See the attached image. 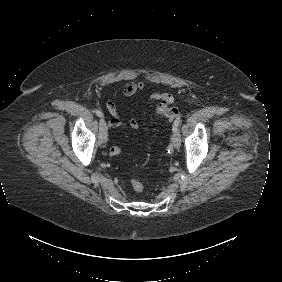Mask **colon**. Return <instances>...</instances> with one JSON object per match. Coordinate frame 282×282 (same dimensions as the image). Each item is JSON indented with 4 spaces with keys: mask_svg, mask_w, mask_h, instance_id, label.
Returning <instances> with one entry per match:
<instances>
[{
    "mask_svg": "<svg viewBox=\"0 0 282 282\" xmlns=\"http://www.w3.org/2000/svg\"><path fill=\"white\" fill-rule=\"evenodd\" d=\"M163 115L166 118H169L170 121L177 122L180 119V110H179V108L174 107L173 105H166L163 108ZM109 153L112 157H118V156L121 155L122 150L117 146H113V147L110 148ZM131 184H132L134 191H136L138 193L143 192L144 185L140 181V179H138L137 177H133L131 179Z\"/></svg>",
    "mask_w": 282,
    "mask_h": 282,
    "instance_id": "obj_1",
    "label": "colon"
}]
</instances>
